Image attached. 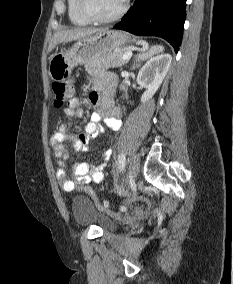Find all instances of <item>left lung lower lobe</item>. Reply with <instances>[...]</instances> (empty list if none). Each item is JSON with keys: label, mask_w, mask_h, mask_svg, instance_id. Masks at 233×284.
I'll return each mask as SVG.
<instances>
[{"label": "left lung lower lobe", "mask_w": 233, "mask_h": 284, "mask_svg": "<svg viewBox=\"0 0 233 284\" xmlns=\"http://www.w3.org/2000/svg\"><path fill=\"white\" fill-rule=\"evenodd\" d=\"M186 0H135L114 28L135 35L159 36L177 53L183 36Z\"/></svg>", "instance_id": "left-lung-lower-lobe-1"}]
</instances>
